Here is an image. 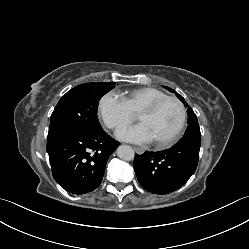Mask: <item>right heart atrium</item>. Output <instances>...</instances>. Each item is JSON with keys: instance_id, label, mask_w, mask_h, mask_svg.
<instances>
[{"instance_id": "obj_1", "label": "right heart atrium", "mask_w": 249, "mask_h": 249, "mask_svg": "<svg viewBox=\"0 0 249 249\" xmlns=\"http://www.w3.org/2000/svg\"><path fill=\"white\" fill-rule=\"evenodd\" d=\"M97 113L103 124L110 130L125 128L133 119V113L115 93L104 94L97 106Z\"/></svg>"}]
</instances>
